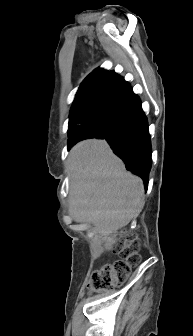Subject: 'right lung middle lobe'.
Masks as SVG:
<instances>
[{"label": "right lung middle lobe", "mask_w": 193, "mask_h": 336, "mask_svg": "<svg viewBox=\"0 0 193 336\" xmlns=\"http://www.w3.org/2000/svg\"><path fill=\"white\" fill-rule=\"evenodd\" d=\"M112 111L113 109H107L101 112L94 119L80 121L79 124L71 127L70 130H68V135L70 132L73 135H84L85 139L94 138L103 129Z\"/></svg>", "instance_id": "right-lung-middle-lobe-1"}]
</instances>
